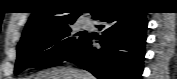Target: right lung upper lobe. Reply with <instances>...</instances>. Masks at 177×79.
<instances>
[{"label": "right lung upper lobe", "mask_w": 177, "mask_h": 79, "mask_svg": "<svg viewBox=\"0 0 177 79\" xmlns=\"http://www.w3.org/2000/svg\"><path fill=\"white\" fill-rule=\"evenodd\" d=\"M74 0H40L34 5L32 15L27 22L23 37L33 32L49 27L71 24L80 16V10L76 7ZM109 5H97L91 7L93 17L102 8Z\"/></svg>", "instance_id": "obj_1"}]
</instances>
